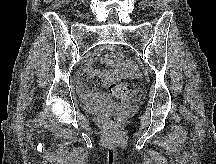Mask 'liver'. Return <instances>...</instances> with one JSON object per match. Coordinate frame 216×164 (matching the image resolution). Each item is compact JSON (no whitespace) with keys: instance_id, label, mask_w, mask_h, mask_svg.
Returning a JSON list of instances; mask_svg holds the SVG:
<instances>
[{"instance_id":"obj_1","label":"liver","mask_w":216,"mask_h":164,"mask_svg":"<svg viewBox=\"0 0 216 164\" xmlns=\"http://www.w3.org/2000/svg\"><path fill=\"white\" fill-rule=\"evenodd\" d=\"M46 4L51 3L53 0H43Z\"/></svg>"}]
</instances>
